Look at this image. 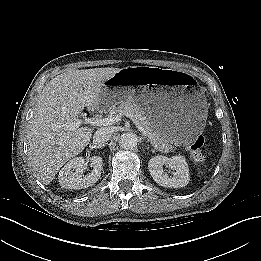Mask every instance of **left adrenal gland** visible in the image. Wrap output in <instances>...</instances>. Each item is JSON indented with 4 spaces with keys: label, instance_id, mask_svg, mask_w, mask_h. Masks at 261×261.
Returning <instances> with one entry per match:
<instances>
[{
    "label": "left adrenal gland",
    "instance_id": "obj_1",
    "mask_svg": "<svg viewBox=\"0 0 261 261\" xmlns=\"http://www.w3.org/2000/svg\"><path fill=\"white\" fill-rule=\"evenodd\" d=\"M146 149H149L150 147L149 146H144ZM154 152V150H152Z\"/></svg>",
    "mask_w": 261,
    "mask_h": 261
}]
</instances>
